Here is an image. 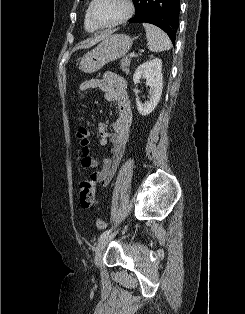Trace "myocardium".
<instances>
[{
  "mask_svg": "<svg viewBox=\"0 0 245 314\" xmlns=\"http://www.w3.org/2000/svg\"><path fill=\"white\" fill-rule=\"evenodd\" d=\"M96 1L97 0L91 1L89 8H88V16H89V19L92 22V24L98 29L112 28V27L118 26V25L124 23L125 21H127L134 13V4H133L132 0H123V2L125 4L124 13L115 21H113L111 23L102 24V23H99L93 15V8H94Z\"/></svg>",
  "mask_w": 245,
  "mask_h": 314,
  "instance_id": "1",
  "label": "myocardium"
}]
</instances>
